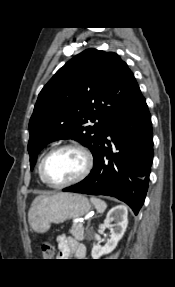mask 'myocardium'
Returning a JSON list of instances; mask_svg holds the SVG:
<instances>
[{
  "instance_id": "f54148a6",
  "label": "myocardium",
  "mask_w": 175,
  "mask_h": 287,
  "mask_svg": "<svg viewBox=\"0 0 175 287\" xmlns=\"http://www.w3.org/2000/svg\"><path fill=\"white\" fill-rule=\"evenodd\" d=\"M63 149H73V150L80 152L84 157L85 165H84V168L81 171V173L79 175H77L75 178H73L69 181H66L64 183L57 184V183L51 182L48 179V177L46 175V164H47L49 158L55 152L63 150ZM93 164H94L93 156L90 153V151L88 149H86L84 146L77 144V143H64V144H60V145L52 148L43 157L42 162H41V166H40V176H41L43 182L50 187H52V188H64L67 186L77 184V183L81 182L82 180H84L89 175V173L91 172V170L93 168Z\"/></svg>"
}]
</instances>
